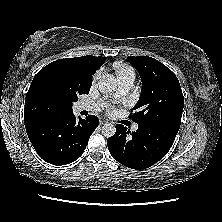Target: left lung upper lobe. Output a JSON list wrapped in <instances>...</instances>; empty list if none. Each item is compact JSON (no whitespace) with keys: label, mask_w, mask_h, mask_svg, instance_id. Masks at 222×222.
Returning a JSON list of instances; mask_svg holds the SVG:
<instances>
[{"label":"left lung upper lobe","mask_w":222,"mask_h":222,"mask_svg":"<svg viewBox=\"0 0 222 222\" xmlns=\"http://www.w3.org/2000/svg\"><path fill=\"white\" fill-rule=\"evenodd\" d=\"M140 73L142 91L135 113L129 118L138 124L170 121L181 124L184 97L176 75L158 60L146 56L127 59Z\"/></svg>","instance_id":"left-lung-upper-lobe-1"}]
</instances>
